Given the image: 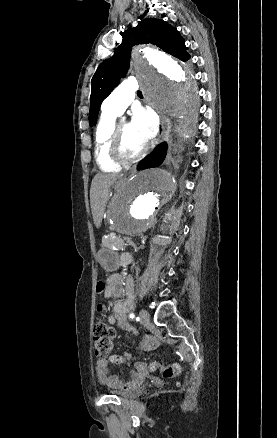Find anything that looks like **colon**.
<instances>
[{"label":"colon","mask_w":277,"mask_h":438,"mask_svg":"<svg viewBox=\"0 0 277 438\" xmlns=\"http://www.w3.org/2000/svg\"><path fill=\"white\" fill-rule=\"evenodd\" d=\"M105 283L102 280H98L97 282V292L99 294L104 293ZM98 312H104L106 310L105 303H98L97 305ZM115 338V331L109 327L105 323H97L93 327V345L96 351V354L102 361H107L109 357L110 351L113 349ZM114 363H120L123 361L121 357H111L109 358ZM155 368L159 369L165 378H173L181 373V364L175 362L169 366H162L159 363H155ZM174 389H187L188 381L187 380H174L173 381Z\"/></svg>","instance_id":"colon-1"}]
</instances>
